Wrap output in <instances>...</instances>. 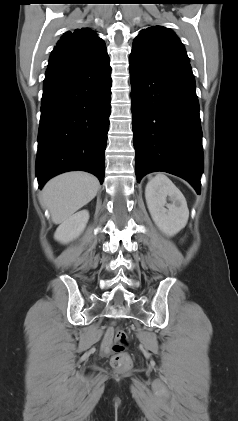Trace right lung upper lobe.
Returning a JSON list of instances; mask_svg holds the SVG:
<instances>
[{
    "label": "right lung upper lobe",
    "instance_id": "right-lung-upper-lobe-1",
    "mask_svg": "<svg viewBox=\"0 0 238 421\" xmlns=\"http://www.w3.org/2000/svg\"><path fill=\"white\" fill-rule=\"evenodd\" d=\"M109 59L104 41L88 28L67 31L55 46L49 64Z\"/></svg>",
    "mask_w": 238,
    "mask_h": 421
}]
</instances>
